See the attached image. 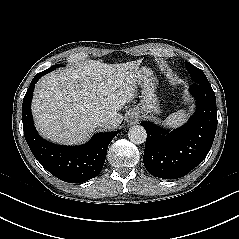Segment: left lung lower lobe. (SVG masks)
Returning <instances> with one entry per match:
<instances>
[{"label": "left lung lower lobe", "instance_id": "left-lung-lower-lobe-1", "mask_svg": "<svg viewBox=\"0 0 239 239\" xmlns=\"http://www.w3.org/2000/svg\"><path fill=\"white\" fill-rule=\"evenodd\" d=\"M196 112L183 127L169 132L150 122L141 125L147 132L143 162L159 178L177 179L199 165L212 147L217 129L216 98L211 85L193 84Z\"/></svg>", "mask_w": 239, "mask_h": 239}]
</instances>
